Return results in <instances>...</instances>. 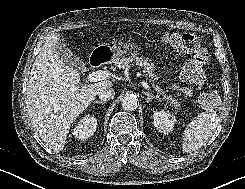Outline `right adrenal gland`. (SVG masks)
<instances>
[{
	"label": "right adrenal gland",
	"instance_id": "right-adrenal-gland-1",
	"mask_svg": "<svg viewBox=\"0 0 245 189\" xmlns=\"http://www.w3.org/2000/svg\"><path fill=\"white\" fill-rule=\"evenodd\" d=\"M93 103L105 104V103H106V101H99V100H95Z\"/></svg>",
	"mask_w": 245,
	"mask_h": 189
}]
</instances>
